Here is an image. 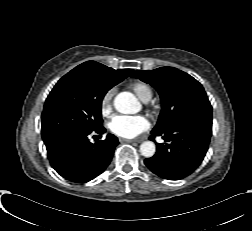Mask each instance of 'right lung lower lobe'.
I'll return each mask as SVG.
<instances>
[{
  "mask_svg": "<svg viewBox=\"0 0 252 231\" xmlns=\"http://www.w3.org/2000/svg\"><path fill=\"white\" fill-rule=\"evenodd\" d=\"M94 132L101 135L105 128L100 127ZM90 133L65 134L45 144L51 166L71 182L85 183L100 175L118 145L117 137L112 134L93 144L87 137Z\"/></svg>",
  "mask_w": 252,
  "mask_h": 231,
  "instance_id": "right-lung-lower-lobe-1",
  "label": "right lung lower lobe"
}]
</instances>
